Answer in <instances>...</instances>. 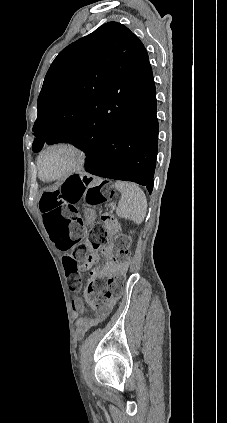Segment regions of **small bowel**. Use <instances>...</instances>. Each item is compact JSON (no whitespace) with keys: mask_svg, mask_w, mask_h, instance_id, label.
Wrapping results in <instances>:
<instances>
[{"mask_svg":"<svg viewBox=\"0 0 227 423\" xmlns=\"http://www.w3.org/2000/svg\"><path fill=\"white\" fill-rule=\"evenodd\" d=\"M106 254L110 253V250L105 251ZM117 265L114 262H108L98 273L100 275H107L116 271ZM115 305V300L108 301L103 307L96 310L93 316H85L77 321V333L79 336H83L91 327L96 326L103 321L112 311ZM72 309L75 314L84 311V304L81 299L76 298L72 301Z\"/></svg>","mask_w":227,"mask_h":423,"instance_id":"c3829d8e","label":"small bowel"}]
</instances>
